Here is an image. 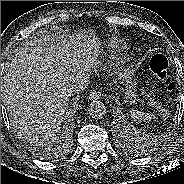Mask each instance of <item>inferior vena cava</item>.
Segmentation results:
<instances>
[{"instance_id": "602c4592", "label": "inferior vena cava", "mask_w": 184, "mask_h": 184, "mask_svg": "<svg viewBox=\"0 0 184 184\" xmlns=\"http://www.w3.org/2000/svg\"><path fill=\"white\" fill-rule=\"evenodd\" d=\"M89 84L88 76L85 73H79L71 78L68 86V93L73 94L83 91Z\"/></svg>"}]
</instances>
